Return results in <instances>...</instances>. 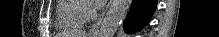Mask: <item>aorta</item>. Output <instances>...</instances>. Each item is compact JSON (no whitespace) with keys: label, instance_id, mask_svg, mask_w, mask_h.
<instances>
[{"label":"aorta","instance_id":"1","mask_svg":"<svg viewBox=\"0 0 219 37\" xmlns=\"http://www.w3.org/2000/svg\"><path fill=\"white\" fill-rule=\"evenodd\" d=\"M132 4V0H113L101 24L98 37H114L127 11Z\"/></svg>","mask_w":219,"mask_h":37}]
</instances>
